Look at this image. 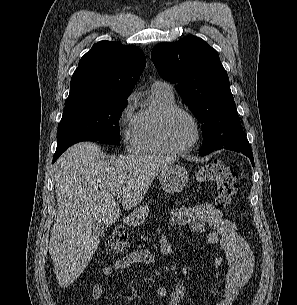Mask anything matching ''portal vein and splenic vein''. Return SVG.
Listing matches in <instances>:
<instances>
[{
  "label": "portal vein and splenic vein",
  "instance_id": "18ae733b",
  "mask_svg": "<svg viewBox=\"0 0 297 305\" xmlns=\"http://www.w3.org/2000/svg\"><path fill=\"white\" fill-rule=\"evenodd\" d=\"M115 197H116V198H120V197H121V194H120V193H116V194H115Z\"/></svg>",
  "mask_w": 297,
  "mask_h": 305
}]
</instances>
